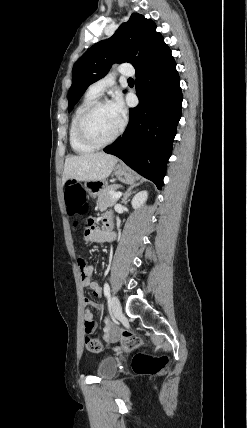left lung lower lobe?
I'll return each mask as SVG.
<instances>
[{
	"label": "left lung lower lobe",
	"mask_w": 247,
	"mask_h": 428,
	"mask_svg": "<svg viewBox=\"0 0 247 428\" xmlns=\"http://www.w3.org/2000/svg\"><path fill=\"white\" fill-rule=\"evenodd\" d=\"M176 63L169 48L136 69L139 104L130 108L129 125L123 135L104 151L129 167L163 185L176 128L181 118L182 92Z\"/></svg>",
	"instance_id": "1"
}]
</instances>
